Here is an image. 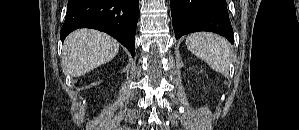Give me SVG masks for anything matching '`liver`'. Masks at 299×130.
Instances as JSON below:
<instances>
[{
  "label": "liver",
  "mask_w": 299,
  "mask_h": 130,
  "mask_svg": "<svg viewBox=\"0 0 299 130\" xmlns=\"http://www.w3.org/2000/svg\"><path fill=\"white\" fill-rule=\"evenodd\" d=\"M119 46L114 38L103 32L76 30L68 35L63 45V70L72 77L83 76L111 61Z\"/></svg>",
  "instance_id": "6515ba94"
}]
</instances>
